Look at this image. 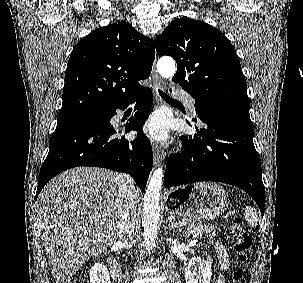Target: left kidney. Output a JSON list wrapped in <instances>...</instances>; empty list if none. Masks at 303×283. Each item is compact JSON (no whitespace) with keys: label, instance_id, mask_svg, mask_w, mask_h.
<instances>
[{"label":"left kidney","instance_id":"5707ae66","mask_svg":"<svg viewBox=\"0 0 303 283\" xmlns=\"http://www.w3.org/2000/svg\"><path fill=\"white\" fill-rule=\"evenodd\" d=\"M212 276V259L191 258L185 268L186 283H210Z\"/></svg>","mask_w":303,"mask_h":283}]
</instances>
